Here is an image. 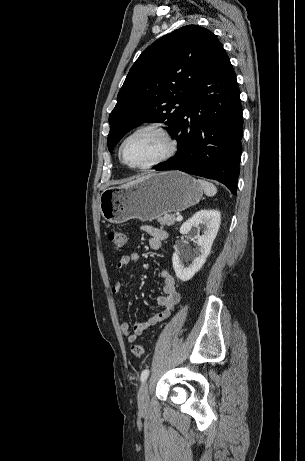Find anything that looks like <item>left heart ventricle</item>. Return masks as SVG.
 <instances>
[{
  "label": "left heart ventricle",
  "mask_w": 305,
  "mask_h": 461,
  "mask_svg": "<svg viewBox=\"0 0 305 461\" xmlns=\"http://www.w3.org/2000/svg\"><path fill=\"white\" fill-rule=\"evenodd\" d=\"M167 149L163 136L154 131H146L132 137L124 146V158L133 166L147 164L159 158Z\"/></svg>",
  "instance_id": "obj_1"
}]
</instances>
